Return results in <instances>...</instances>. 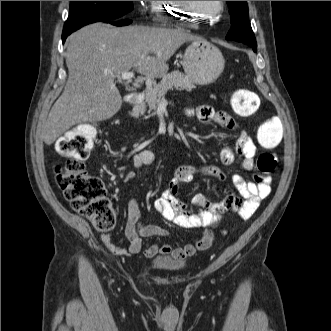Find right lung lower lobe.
<instances>
[{
	"mask_svg": "<svg viewBox=\"0 0 331 331\" xmlns=\"http://www.w3.org/2000/svg\"><path fill=\"white\" fill-rule=\"evenodd\" d=\"M102 22L110 23V24H113V25H116V26H125V25H129L131 23V20L119 19V20H107V21H102ZM68 35H70V34H63L62 35L63 42L66 40Z\"/></svg>",
	"mask_w": 331,
	"mask_h": 331,
	"instance_id": "right-lung-lower-lobe-1",
	"label": "right lung lower lobe"
}]
</instances>
